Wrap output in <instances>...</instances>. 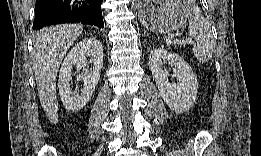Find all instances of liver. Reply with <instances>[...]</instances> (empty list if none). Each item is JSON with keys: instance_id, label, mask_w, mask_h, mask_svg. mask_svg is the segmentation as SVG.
Segmentation results:
<instances>
[{"instance_id": "obj_1", "label": "liver", "mask_w": 261, "mask_h": 156, "mask_svg": "<svg viewBox=\"0 0 261 156\" xmlns=\"http://www.w3.org/2000/svg\"><path fill=\"white\" fill-rule=\"evenodd\" d=\"M82 33L81 25L62 24L40 30L33 43L32 60L40 103L51 123L58 122L56 77L68 49Z\"/></svg>"}]
</instances>
